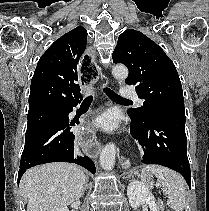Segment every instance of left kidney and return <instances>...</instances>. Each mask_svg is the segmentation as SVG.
Here are the masks:
<instances>
[{
    "mask_svg": "<svg viewBox=\"0 0 209 211\" xmlns=\"http://www.w3.org/2000/svg\"><path fill=\"white\" fill-rule=\"evenodd\" d=\"M127 196L132 208H137L146 203L149 205L150 211H160L154 195L143 183L131 182L127 187Z\"/></svg>",
    "mask_w": 209,
    "mask_h": 211,
    "instance_id": "left-kidney-1",
    "label": "left kidney"
}]
</instances>
